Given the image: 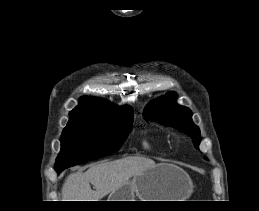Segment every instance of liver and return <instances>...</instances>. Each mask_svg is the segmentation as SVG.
<instances>
[{"instance_id": "1", "label": "liver", "mask_w": 259, "mask_h": 211, "mask_svg": "<svg viewBox=\"0 0 259 211\" xmlns=\"http://www.w3.org/2000/svg\"><path fill=\"white\" fill-rule=\"evenodd\" d=\"M155 165L153 160L140 156L94 164L86 172H75L66 178L62 187V199L63 201H99L124 185L134 175Z\"/></svg>"}]
</instances>
